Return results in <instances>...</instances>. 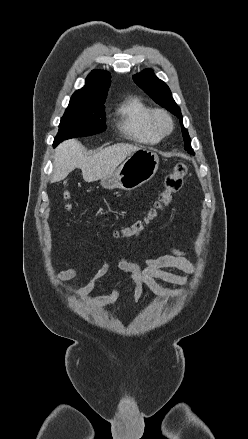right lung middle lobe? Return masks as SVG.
I'll return each mask as SVG.
<instances>
[{
	"label": "right lung middle lobe",
	"instance_id": "obj_1",
	"mask_svg": "<svg viewBox=\"0 0 248 439\" xmlns=\"http://www.w3.org/2000/svg\"><path fill=\"white\" fill-rule=\"evenodd\" d=\"M105 107L103 103L70 102L59 124L54 139L55 147L63 140L84 137L105 131Z\"/></svg>",
	"mask_w": 248,
	"mask_h": 439
}]
</instances>
